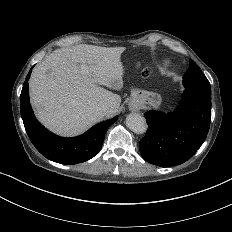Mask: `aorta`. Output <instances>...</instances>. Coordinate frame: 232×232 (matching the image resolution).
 I'll return each instance as SVG.
<instances>
[{"mask_svg":"<svg viewBox=\"0 0 232 232\" xmlns=\"http://www.w3.org/2000/svg\"><path fill=\"white\" fill-rule=\"evenodd\" d=\"M127 127L136 134H143L147 129L145 119L136 113H131L126 118Z\"/></svg>","mask_w":232,"mask_h":232,"instance_id":"1","label":"aorta"}]
</instances>
